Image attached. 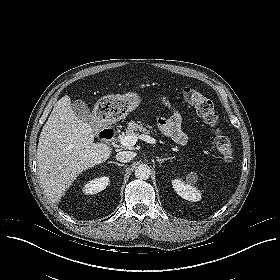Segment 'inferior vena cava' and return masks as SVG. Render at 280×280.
<instances>
[{
    "instance_id": "inferior-vena-cava-1",
    "label": "inferior vena cava",
    "mask_w": 280,
    "mask_h": 280,
    "mask_svg": "<svg viewBox=\"0 0 280 280\" xmlns=\"http://www.w3.org/2000/svg\"><path fill=\"white\" fill-rule=\"evenodd\" d=\"M135 157V153L132 151H121L116 155V159L122 163H127Z\"/></svg>"
}]
</instances>
